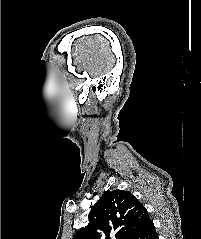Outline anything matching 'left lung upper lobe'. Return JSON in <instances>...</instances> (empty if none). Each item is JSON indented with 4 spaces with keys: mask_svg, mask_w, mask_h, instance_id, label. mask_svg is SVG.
Listing matches in <instances>:
<instances>
[{
    "mask_svg": "<svg viewBox=\"0 0 201 239\" xmlns=\"http://www.w3.org/2000/svg\"><path fill=\"white\" fill-rule=\"evenodd\" d=\"M89 223L73 239H131L150 221L146 208L130 191H107L91 207Z\"/></svg>",
    "mask_w": 201,
    "mask_h": 239,
    "instance_id": "obj_1",
    "label": "left lung upper lobe"
}]
</instances>
